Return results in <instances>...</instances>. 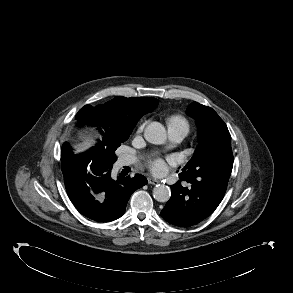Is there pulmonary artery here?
Returning <instances> with one entry per match:
<instances>
[{
  "label": "pulmonary artery",
  "instance_id": "pulmonary-artery-1",
  "mask_svg": "<svg viewBox=\"0 0 293 293\" xmlns=\"http://www.w3.org/2000/svg\"><path fill=\"white\" fill-rule=\"evenodd\" d=\"M188 131L184 128L179 127H168V134L169 138L173 143H179L181 142L187 135ZM135 157L132 156H126L122 158L121 164L122 165H129L135 162Z\"/></svg>",
  "mask_w": 293,
  "mask_h": 293
}]
</instances>
